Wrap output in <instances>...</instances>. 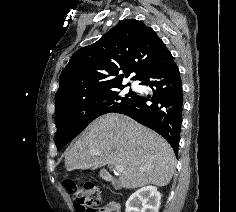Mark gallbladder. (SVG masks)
<instances>
[{
    "mask_svg": "<svg viewBox=\"0 0 236 212\" xmlns=\"http://www.w3.org/2000/svg\"><path fill=\"white\" fill-rule=\"evenodd\" d=\"M115 184H116V185H118V182H117V181H115Z\"/></svg>",
    "mask_w": 236,
    "mask_h": 212,
    "instance_id": "bac80fb5",
    "label": "gallbladder"
}]
</instances>
